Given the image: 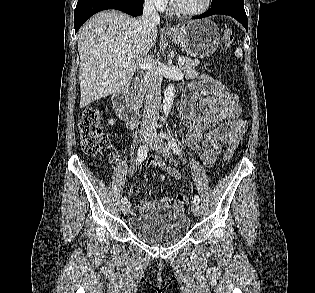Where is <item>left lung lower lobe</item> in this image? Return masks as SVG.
Segmentation results:
<instances>
[{"label": "left lung lower lobe", "mask_w": 315, "mask_h": 293, "mask_svg": "<svg viewBox=\"0 0 315 293\" xmlns=\"http://www.w3.org/2000/svg\"><path fill=\"white\" fill-rule=\"evenodd\" d=\"M215 14L232 16L247 29L248 20L244 9V4L241 3L225 2L215 7H211V9H209L207 12L194 17L193 19L205 18Z\"/></svg>", "instance_id": "1"}]
</instances>
